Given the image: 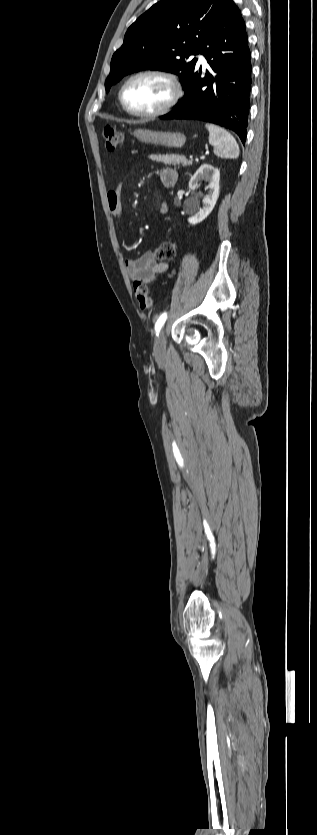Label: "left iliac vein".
Wrapping results in <instances>:
<instances>
[{
  "label": "left iliac vein",
  "mask_w": 317,
  "mask_h": 835,
  "mask_svg": "<svg viewBox=\"0 0 317 835\" xmlns=\"http://www.w3.org/2000/svg\"><path fill=\"white\" fill-rule=\"evenodd\" d=\"M166 351V337L164 331H161L154 343V355L156 358L164 356Z\"/></svg>",
  "instance_id": "4c4485c4"
}]
</instances>
